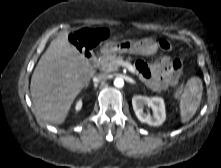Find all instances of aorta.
<instances>
[{
	"label": "aorta",
	"instance_id": "1",
	"mask_svg": "<svg viewBox=\"0 0 221 168\" xmlns=\"http://www.w3.org/2000/svg\"><path fill=\"white\" fill-rule=\"evenodd\" d=\"M114 85L118 88H122L124 86V80L122 78H115Z\"/></svg>",
	"mask_w": 221,
	"mask_h": 168
}]
</instances>
